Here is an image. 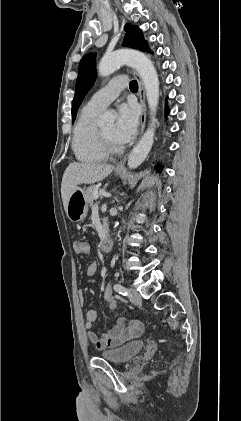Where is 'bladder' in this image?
<instances>
[{
	"instance_id": "31cf9c89",
	"label": "bladder",
	"mask_w": 241,
	"mask_h": 421,
	"mask_svg": "<svg viewBox=\"0 0 241 421\" xmlns=\"http://www.w3.org/2000/svg\"><path fill=\"white\" fill-rule=\"evenodd\" d=\"M146 347L143 340L131 341L120 347L101 353V357L111 363L122 364L131 361Z\"/></svg>"
}]
</instances>
